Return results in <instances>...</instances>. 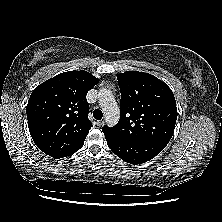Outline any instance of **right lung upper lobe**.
Here are the masks:
<instances>
[{"label":"right lung upper lobe","mask_w":222,"mask_h":222,"mask_svg":"<svg viewBox=\"0 0 222 222\" xmlns=\"http://www.w3.org/2000/svg\"><path fill=\"white\" fill-rule=\"evenodd\" d=\"M98 82L87 71H69L33 90L26 107L28 127L45 154L63 158L83 146L92 127L86 95Z\"/></svg>","instance_id":"1"}]
</instances>
